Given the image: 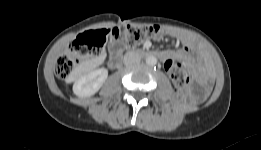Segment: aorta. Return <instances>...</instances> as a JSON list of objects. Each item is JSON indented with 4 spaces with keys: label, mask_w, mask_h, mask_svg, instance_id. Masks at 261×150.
<instances>
[{
    "label": "aorta",
    "mask_w": 261,
    "mask_h": 150,
    "mask_svg": "<svg viewBox=\"0 0 261 150\" xmlns=\"http://www.w3.org/2000/svg\"><path fill=\"white\" fill-rule=\"evenodd\" d=\"M145 61L148 66H155L157 64V58L151 55L147 56Z\"/></svg>",
    "instance_id": "obj_1"
}]
</instances>
